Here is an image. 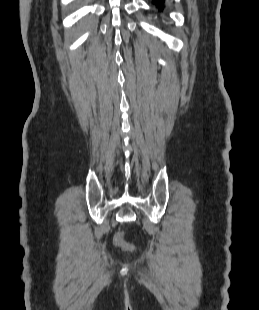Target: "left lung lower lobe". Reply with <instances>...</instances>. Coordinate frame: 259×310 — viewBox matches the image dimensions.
I'll use <instances>...</instances> for the list:
<instances>
[{
  "mask_svg": "<svg viewBox=\"0 0 259 310\" xmlns=\"http://www.w3.org/2000/svg\"><path fill=\"white\" fill-rule=\"evenodd\" d=\"M153 2L157 5V7H158L160 10L163 9L164 0H153Z\"/></svg>",
  "mask_w": 259,
  "mask_h": 310,
  "instance_id": "obj_1",
  "label": "left lung lower lobe"
}]
</instances>
